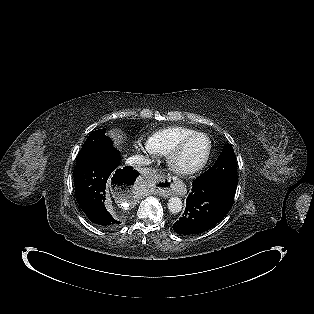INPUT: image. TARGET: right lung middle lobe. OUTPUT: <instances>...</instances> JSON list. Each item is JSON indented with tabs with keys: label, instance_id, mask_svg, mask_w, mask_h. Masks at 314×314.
<instances>
[{
	"label": "right lung middle lobe",
	"instance_id": "right-lung-middle-lobe-1",
	"mask_svg": "<svg viewBox=\"0 0 314 314\" xmlns=\"http://www.w3.org/2000/svg\"><path fill=\"white\" fill-rule=\"evenodd\" d=\"M105 129L93 131L85 141L77 156L76 165H79L112 146V141L105 135Z\"/></svg>",
	"mask_w": 314,
	"mask_h": 314
}]
</instances>
